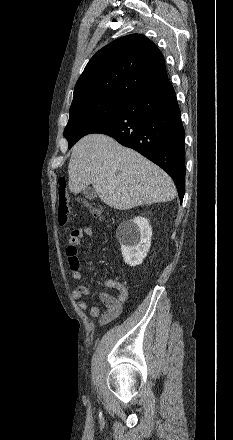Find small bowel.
<instances>
[{"instance_id": "1", "label": "small bowel", "mask_w": 233, "mask_h": 440, "mask_svg": "<svg viewBox=\"0 0 233 440\" xmlns=\"http://www.w3.org/2000/svg\"><path fill=\"white\" fill-rule=\"evenodd\" d=\"M92 235L93 230L90 226H82L71 232L69 243L66 248V255L69 260L71 276L76 280L84 279L78 257L79 245L83 238ZM103 284L106 288L116 289L118 291V296H113L105 290L99 292L98 297L101 304H94L90 308L89 317L92 319L98 318L100 325H106L117 319L123 312L124 304L129 297L128 287L117 280L107 279ZM88 295L89 289L83 285L77 287L73 292V297L78 300V307L82 311H85L88 307L86 301ZM104 308L105 311H103Z\"/></svg>"}]
</instances>
